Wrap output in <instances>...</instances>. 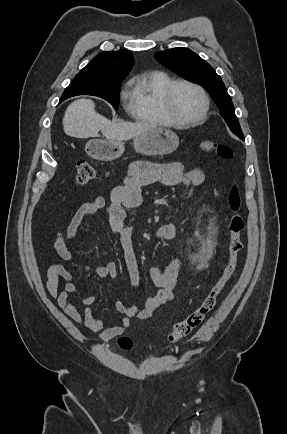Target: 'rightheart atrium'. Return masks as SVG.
I'll use <instances>...</instances> for the list:
<instances>
[{
	"mask_svg": "<svg viewBox=\"0 0 287 434\" xmlns=\"http://www.w3.org/2000/svg\"><path fill=\"white\" fill-rule=\"evenodd\" d=\"M128 98H129V93H128L127 89H124V90L122 91V99H123L124 101H126Z\"/></svg>",
	"mask_w": 287,
	"mask_h": 434,
	"instance_id": "right-heart-atrium-1",
	"label": "right heart atrium"
}]
</instances>
